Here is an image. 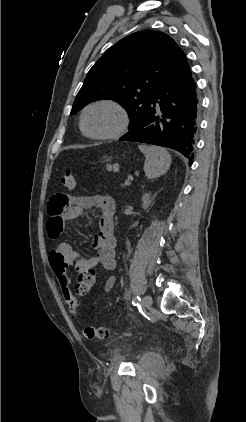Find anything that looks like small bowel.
Listing matches in <instances>:
<instances>
[{"mask_svg":"<svg viewBox=\"0 0 246 422\" xmlns=\"http://www.w3.org/2000/svg\"><path fill=\"white\" fill-rule=\"evenodd\" d=\"M98 209L101 212L99 232L92 241L96 254L84 257L74 250L68 242H60L55 249L61 252L69 265H74L79 273L84 270L102 266L106 270L116 267V239L114 236V215L116 203L106 195L70 196L64 193L54 194L49 201L47 232L51 239L56 240L62 234L65 224L79 218L84 210ZM116 283L115 276H109L104 284L105 291H111Z\"/></svg>","mask_w":246,"mask_h":422,"instance_id":"small-bowel-1","label":"small bowel"}]
</instances>
